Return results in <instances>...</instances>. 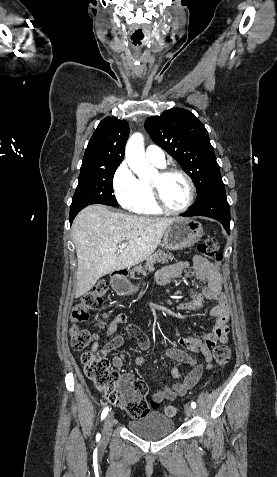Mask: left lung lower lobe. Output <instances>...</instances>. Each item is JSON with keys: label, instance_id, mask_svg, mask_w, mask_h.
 I'll return each mask as SVG.
<instances>
[{"label": "left lung lower lobe", "instance_id": "obj_1", "mask_svg": "<svg viewBox=\"0 0 277 477\" xmlns=\"http://www.w3.org/2000/svg\"><path fill=\"white\" fill-rule=\"evenodd\" d=\"M181 216H206L219 221L230 233V208L222 178L214 180L197 199L196 204Z\"/></svg>", "mask_w": 277, "mask_h": 477}]
</instances>
